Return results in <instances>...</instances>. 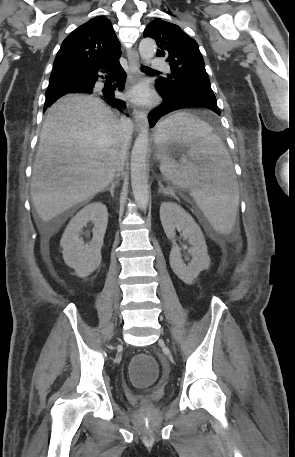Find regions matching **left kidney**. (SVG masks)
Segmentation results:
<instances>
[{"label":"left kidney","instance_id":"5707ae66","mask_svg":"<svg viewBox=\"0 0 295 457\" xmlns=\"http://www.w3.org/2000/svg\"><path fill=\"white\" fill-rule=\"evenodd\" d=\"M160 220L167 238L173 243L169 257L173 272L184 283L193 284L200 272L210 265L207 245L199 225L188 212L174 202L161 204ZM175 229L181 230L184 239H188L191 244L189 252L192 260L187 265L183 263L180 250L174 242Z\"/></svg>","mask_w":295,"mask_h":457}]
</instances>
